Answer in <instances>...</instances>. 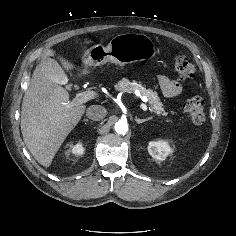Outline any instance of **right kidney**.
<instances>
[{"mask_svg":"<svg viewBox=\"0 0 236 236\" xmlns=\"http://www.w3.org/2000/svg\"><path fill=\"white\" fill-rule=\"evenodd\" d=\"M69 151L75 155H82L84 152V148L81 143H77L76 145L72 146Z\"/></svg>","mask_w":236,"mask_h":236,"instance_id":"1","label":"right kidney"}]
</instances>
